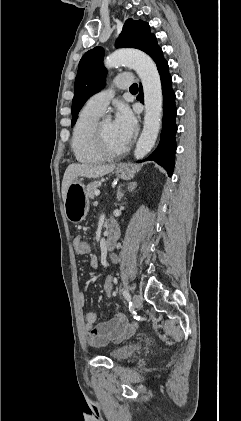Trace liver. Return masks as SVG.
Masks as SVG:
<instances>
[{
  "instance_id": "obj_1",
  "label": "liver",
  "mask_w": 241,
  "mask_h": 421,
  "mask_svg": "<svg viewBox=\"0 0 241 421\" xmlns=\"http://www.w3.org/2000/svg\"><path fill=\"white\" fill-rule=\"evenodd\" d=\"M115 168L114 164L102 165V164H70L65 170L63 181H62V199L65 200L66 193L69 185L76 180L78 177H85L89 179L100 178Z\"/></svg>"
}]
</instances>
